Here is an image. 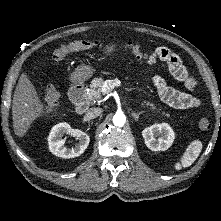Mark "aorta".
<instances>
[{
  "label": "aorta",
  "instance_id": "762f6f07",
  "mask_svg": "<svg viewBox=\"0 0 221 221\" xmlns=\"http://www.w3.org/2000/svg\"><path fill=\"white\" fill-rule=\"evenodd\" d=\"M126 122V116L123 113H116L113 117V123L117 127H123Z\"/></svg>",
  "mask_w": 221,
  "mask_h": 221
}]
</instances>
